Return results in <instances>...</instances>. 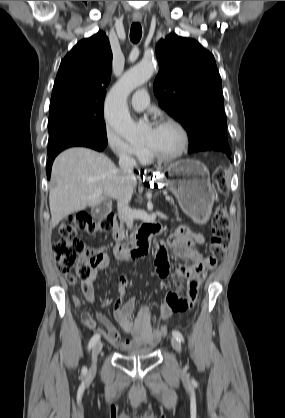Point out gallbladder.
Instances as JSON below:
<instances>
[{"label": "gallbladder", "mask_w": 285, "mask_h": 418, "mask_svg": "<svg viewBox=\"0 0 285 418\" xmlns=\"http://www.w3.org/2000/svg\"><path fill=\"white\" fill-rule=\"evenodd\" d=\"M98 208L100 212L95 214L97 217L105 215L109 211V208L104 204L100 205Z\"/></svg>", "instance_id": "gallbladder-1"}]
</instances>
